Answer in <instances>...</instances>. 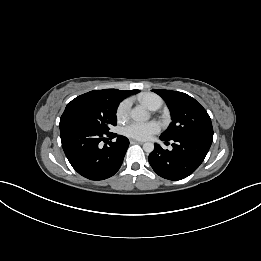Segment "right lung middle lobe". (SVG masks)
I'll return each mask as SVG.
<instances>
[{
    "mask_svg": "<svg viewBox=\"0 0 261 261\" xmlns=\"http://www.w3.org/2000/svg\"><path fill=\"white\" fill-rule=\"evenodd\" d=\"M120 101L105 90H93L69 102L60 118L61 126L83 127L109 133L117 124L116 111Z\"/></svg>",
    "mask_w": 261,
    "mask_h": 261,
    "instance_id": "obj_1",
    "label": "right lung middle lobe"
}]
</instances>
